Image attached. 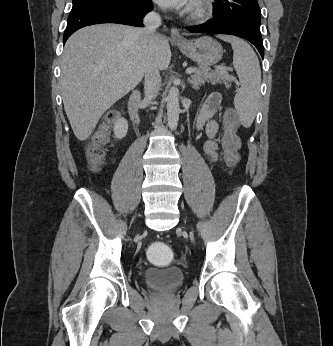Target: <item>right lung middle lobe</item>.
Segmentation results:
<instances>
[{
    "label": "right lung middle lobe",
    "instance_id": "dd1d6c3e",
    "mask_svg": "<svg viewBox=\"0 0 333 346\" xmlns=\"http://www.w3.org/2000/svg\"><path fill=\"white\" fill-rule=\"evenodd\" d=\"M133 0H72L73 7L72 10L95 3H116L118 5L127 6L131 4Z\"/></svg>",
    "mask_w": 333,
    "mask_h": 346
}]
</instances>
